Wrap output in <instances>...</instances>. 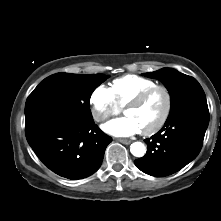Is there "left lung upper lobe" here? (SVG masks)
<instances>
[{"instance_id": "left-lung-upper-lobe-1", "label": "left lung upper lobe", "mask_w": 221, "mask_h": 221, "mask_svg": "<svg viewBox=\"0 0 221 221\" xmlns=\"http://www.w3.org/2000/svg\"><path fill=\"white\" fill-rule=\"evenodd\" d=\"M150 78L159 79L168 89L171 99L170 114L185 104L206 99L205 93L198 81L188 75L171 68H163L146 73Z\"/></svg>"}]
</instances>
